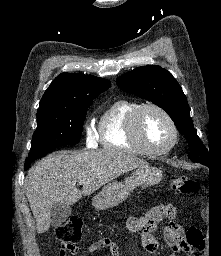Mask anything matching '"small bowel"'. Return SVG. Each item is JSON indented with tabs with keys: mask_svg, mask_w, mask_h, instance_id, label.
I'll use <instances>...</instances> for the list:
<instances>
[{
	"mask_svg": "<svg viewBox=\"0 0 221 256\" xmlns=\"http://www.w3.org/2000/svg\"><path fill=\"white\" fill-rule=\"evenodd\" d=\"M175 216L176 209L173 205H157L140 217H129L126 226L129 231L142 236L145 250L154 253L159 246L155 236L156 229L164 218L173 219ZM163 238L172 252L171 256H178L181 251L187 248L183 228L176 222H171L164 227ZM102 249H107L110 256H120L118 245L107 237L100 238L87 247L89 252H96ZM60 256H66V253L61 251Z\"/></svg>",
	"mask_w": 221,
	"mask_h": 256,
	"instance_id": "c3829d8e",
	"label": "small bowel"
}]
</instances>
